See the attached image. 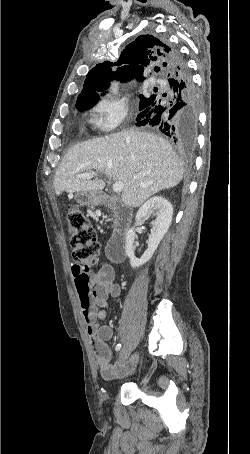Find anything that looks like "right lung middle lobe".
<instances>
[{
	"label": "right lung middle lobe",
	"mask_w": 250,
	"mask_h": 454,
	"mask_svg": "<svg viewBox=\"0 0 250 454\" xmlns=\"http://www.w3.org/2000/svg\"><path fill=\"white\" fill-rule=\"evenodd\" d=\"M154 95L146 98L144 97L143 95L140 96V103H139V107L144 105L151 97H153ZM98 102V101H97ZM97 102H79V103H76V107L78 110L80 111H83L84 109H90L92 108Z\"/></svg>",
	"instance_id": "1"
}]
</instances>
